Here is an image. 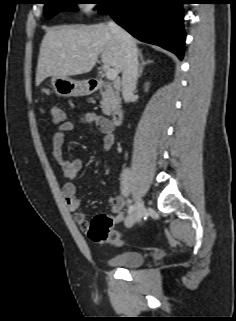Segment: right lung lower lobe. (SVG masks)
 I'll return each instance as SVG.
<instances>
[{"instance_id":"98d812e1","label":"right lung lower lobe","mask_w":236,"mask_h":321,"mask_svg":"<svg viewBox=\"0 0 236 321\" xmlns=\"http://www.w3.org/2000/svg\"><path fill=\"white\" fill-rule=\"evenodd\" d=\"M182 0H110L100 13H108L141 41L159 45L183 58L185 32Z\"/></svg>"}]
</instances>
